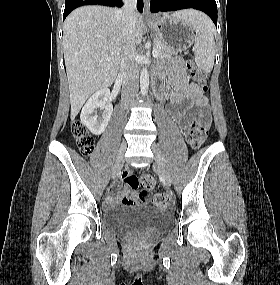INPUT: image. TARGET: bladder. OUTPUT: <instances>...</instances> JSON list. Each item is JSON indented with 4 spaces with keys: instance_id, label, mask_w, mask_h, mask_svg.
Listing matches in <instances>:
<instances>
[{
    "instance_id": "obj_1",
    "label": "bladder",
    "mask_w": 280,
    "mask_h": 285,
    "mask_svg": "<svg viewBox=\"0 0 280 285\" xmlns=\"http://www.w3.org/2000/svg\"><path fill=\"white\" fill-rule=\"evenodd\" d=\"M107 229L119 234L159 233L167 229L171 216L154 207L118 208L102 214Z\"/></svg>"
}]
</instances>
